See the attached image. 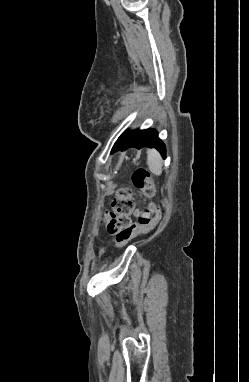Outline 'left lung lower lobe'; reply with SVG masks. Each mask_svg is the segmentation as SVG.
I'll use <instances>...</instances> for the list:
<instances>
[{
  "instance_id": "0a47b994",
  "label": "left lung lower lobe",
  "mask_w": 249,
  "mask_h": 382,
  "mask_svg": "<svg viewBox=\"0 0 249 382\" xmlns=\"http://www.w3.org/2000/svg\"><path fill=\"white\" fill-rule=\"evenodd\" d=\"M130 147L142 148H156L162 156L165 158L166 150L163 142L158 138V134L155 130H134L126 131L114 144L112 153L117 150H126Z\"/></svg>"
}]
</instances>
